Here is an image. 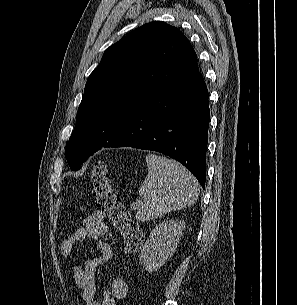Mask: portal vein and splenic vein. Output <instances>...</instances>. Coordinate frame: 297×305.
<instances>
[{
  "instance_id": "1",
  "label": "portal vein and splenic vein",
  "mask_w": 297,
  "mask_h": 305,
  "mask_svg": "<svg viewBox=\"0 0 297 305\" xmlns=\"http://www.w3.org/2000/svg\"><path fill=\"white\" fill-rule=\"evenodd\" d=\"M137 204V203H136ZM135 204H132L131 207L134 208Z\"/></svg>"
}]
</instances>
